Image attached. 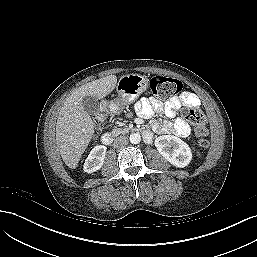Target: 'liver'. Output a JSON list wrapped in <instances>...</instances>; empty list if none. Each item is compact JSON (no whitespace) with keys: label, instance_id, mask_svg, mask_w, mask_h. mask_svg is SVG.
<instances>
[{"label":"liver","instance_id":"1","mask_svg":"<svg viewBox=\"0 0 257 257\" xmlns=\"http://www.w3.org/2000/svg\"><path fill=\"white\" fill-rule=\"evenodd\" d=\"M116 85L115 75L94 80L79 87L61 107L56 123V141L62 160L69 168L77 167L94 134L95 126L83 108V98L94 96L103 99L115 89Z\"/></svg>","mask_w":257,"mask_h":257}]
</instances>
